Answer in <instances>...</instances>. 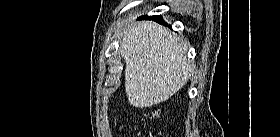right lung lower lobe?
Segmentation results:
<instances>
[{
	"instance_id": "right-lung-lower-lobe-1",
	"label": "right lung lower lobe",
	"mask_w": 280,
	"mask_h": 137,
	"mask_svg": "<svg viewBox=\"0 0 280 137\" xmlns=\"http://www.w3.org/2000/svg\"><path fill=\"white\" fill-rule=\"evenodd\" d=\"M139 19L154 20V21L159 22V23H161V24L167 25V24L164 23L162 17L159 16V15H158V16H147V15H145V16L140 17Z\"/></svg>"
}]
</instances>
